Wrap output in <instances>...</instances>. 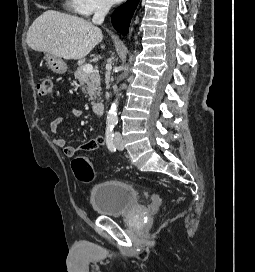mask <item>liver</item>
I'll list each match as a JSON object with an SVG mask.
<instances>
[{"instance_id":"obj_1","label":"liver","mask_w":255,"mask_h":272,"mask_svg":"<svg viewBox=\"0 0 255 272\" xmlns=\"http://www.w3.org/2000/svg\"><path fill=\"white\" fill-rule=\"evenodd\" d=\"M99 27L83 18L54 10L45 11L27 32L28 46L66 60H79L102 41ZM104 49V46H101Z\"/></svg>"}]
</instances>
